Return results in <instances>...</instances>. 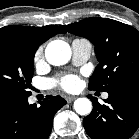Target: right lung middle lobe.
I'll list each match as a JSON object with an SVG mask.
<instances>
[{
	"mask_svg": "<svg viewBox=\"0 0 139 139\" xmlns=\"http://www.w3.org/2000/svg\"><path fill=\"white\" fill-rule=\"evenodd\" d=\"M38 48L12 38H0V94L31 95L33 61Z\"/></svg>",
	"mask_w": 139,
	"mask_h": 139,
	"instance_id": "1",
	"label": "right lung middle lobe"
}]
</instances>
